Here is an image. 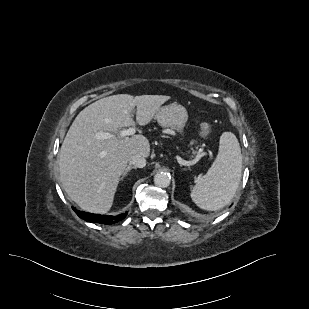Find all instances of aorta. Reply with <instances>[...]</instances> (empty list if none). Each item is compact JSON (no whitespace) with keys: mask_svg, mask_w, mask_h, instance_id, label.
Returning a JSON list of instances; mask_svg holds the SVG:
<instances>
[{"mask_svg":"<svg viewBox=\"0 0 309 309\" xmlns=\"http://www.w3.org/2000/svg\"><path fill=\"white\" fill-rule=\"evenodd\" d=\"M171 177L167 172H158L154 176V183L161 188H166L170 185Z\"/></svg>","mask_w":309,"mask_h":309,"instance_id":"aorta-1","label":"aorta"}]
</instances>
